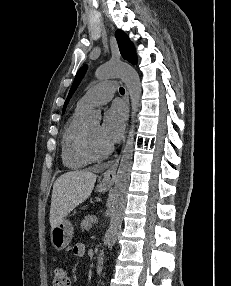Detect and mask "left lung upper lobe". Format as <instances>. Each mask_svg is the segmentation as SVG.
<instances>
[{"label": "left lung upper lobe", "instance_id": "1", "mask_svg": "<svg viewBox=\"0 0 231 286\" xmlns=\"http://www.w3.org/2000/svg\"><path fill=\"white\" fill-rule=\"evenodd\" d=\"M115 35H116V39H117L118 46L120 49V53L122 54L123 58L125 60H128L132 64H136L137 63L136 52H135L134 46H133L132 42L130 41V39L128 38V36L121 30H117ZM86 70H87V65L82 66L78 70L76 77H75V80L73 82V85H72L70 92L68 94V97L65 101V104L63 107V113L66 109V106H67L72 94L74 93V91L76 90L80 81L82 80Z\"/></svg>", "mask_w": 231, "mask_h": 286}]
</instances>
